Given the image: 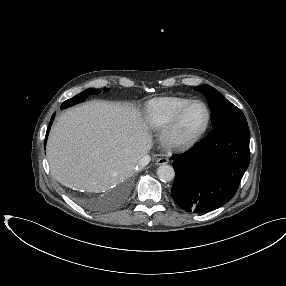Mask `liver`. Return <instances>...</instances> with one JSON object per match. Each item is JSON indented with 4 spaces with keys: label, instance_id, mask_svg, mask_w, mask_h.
<instances>
[{
    "label": "liver",
    "instance_id": "liver-1",
    "mask_svg": "<svg viewBox=\"0 0 286 286\" xmlns=\"http://www.w3.org/2000/svg\"><path fill=\"white\" fill-rule=\"evenodd\" d=\"M151 147L148 127L134 107L91 101L58 118L47 158L62 185L99 193L130 177Z\"/></svg>",
    "mask_w": 286,
    "mask_h": 286
}]
</instances>
